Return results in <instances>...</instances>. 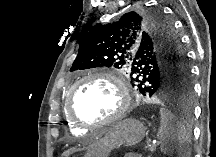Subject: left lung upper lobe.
I'll use <instances>...</instances> for the list:
<instances>
[{"label":"left lung upper lobe","instance_id":"obj_1","mask_svg":"<svg viewBox=\"0 0 216 157\" xmlns=\"http://www.w3.org/2000/svg\"><path fill=\"white\" fill-rule=\"evenodd\" d=\"M104 66L129 69L144 96L178 95L191 102L187 57L163 10L142 7L84 34L71 71Z\"/></svg>","mask_w":216,"mask_h":157}]
</instances>
